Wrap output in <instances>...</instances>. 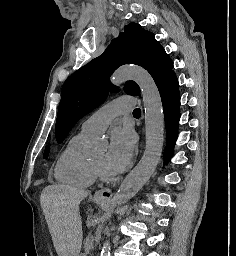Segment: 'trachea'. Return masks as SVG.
Masks as SVG:
<instances>
[{
  "instance_id": "3493384b",
  "label": "trachea",
  "mask_w": 236,
  "mask_h": 256,
  "mask_svg": "<svg viewBox=\"0 0 236 256\" xmlns=\"http://www.w3.org/2000/svg\"><path fill=\"white\" fill-rule=\"evenodd\" d=\"M133 114H141L140 108H135V110L133 111Z\"/></svg>"
}]
</instances>
